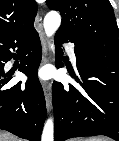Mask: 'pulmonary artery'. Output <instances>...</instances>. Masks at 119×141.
<instances>
[{
	"label": "pulmonary artery",
	"mask_w": 119,
	"mask_h": 141,
	"mask_svg": "<svg viewBox=\"0 0 119 141\" xmlns=\"http://www.w3.org/2000/svg\"><path fill=\"white\" fill-rule=\"evenodd\" d=\"M68 54L70 56L71 61L75 64L76 63V55L74 52V48L72 45L68 47Z\"/></svg>",
	"instance_id": "obj_1"
}]
</instances>
